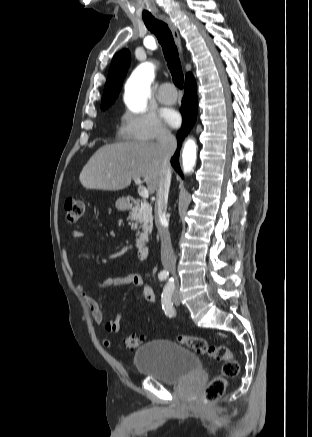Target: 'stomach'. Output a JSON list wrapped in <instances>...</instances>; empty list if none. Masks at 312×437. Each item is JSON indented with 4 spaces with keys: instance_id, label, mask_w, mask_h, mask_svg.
Segmentation results:
<instances>
[{
    "instance_id": "1",
    "label": "stomach",
    "mask_w": 312,
    "mask_h": 437,
    "mask_svg": "<svg viewBox=\"0 0 312 437\" xmlns=\"http://www.w3.org/2000/svg\"><path fill=\"white\" fill-rule=\"evenodd\" d=\"M116 207L119 210H126V209H128V203H127L126 199H124V198L118 199L116 201Z\"/></svg>"
}]
</instances>
